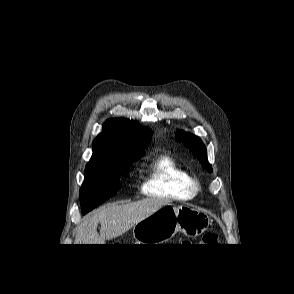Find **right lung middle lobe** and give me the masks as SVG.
Segmentation results:
<instances>
[{
    "instance_id": "1",
    "label": "right lung middle lobe",
    "mask_w": 294,
    "mask_h": 294,
    "mask_svg": "<svg viewBox=\"0 0 294 294\" xmlns=\"http://www.w3.org/2000/svg\"><path fill=\"white\" fill-rule=\"evenodd\" d=\"M141 157L92 156L85 169V179L80 189L83 212H89L114 196L120 187V177L132 162Z\"/></svg>"
}]
</instances>
